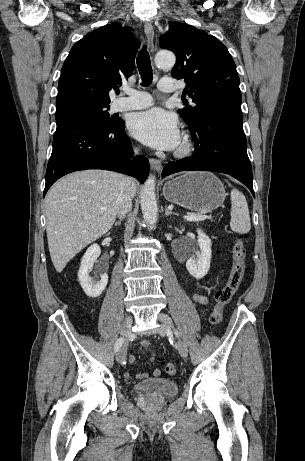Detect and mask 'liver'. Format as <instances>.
Wrapping results in <instances>:
<instances>
[{
  "label": "liver",
  "mask_w": 305,
  "mask_h": 461,
  "mask_svg": "<svg viewBox=\"0 0 305 461\" xmlns=\"http://www.w3.org/2000/svg\"><path fill=\"white\" fill-rule=\"evenodd\" d=\"M123 176L105 170L74 172L57 181L45 199L46 232L58 273L88 244L106 234L117 215ZM129 188L136 194L135 179Z\"/></svg>",
  "instance_id": "obj_1"
}]
</instances>
